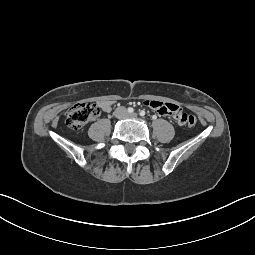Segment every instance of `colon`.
Wrapping results in <instances>:
<instances>
[{
	"label": "colon",
	"mask_w": 255,
	"mask_h": 255,
	"mask_svg": "<svg viewBox=\"0 0 255 255\" xmlns=\"http://www.w3.org/2000/svg\"><path fill=\"white\" fill-rule=\"evenodd\" d=\"M100 115L99 107L90 102L77 103L73 105L66 113L65 123L71 130L81 129L87 123L95 120ZM188 116L187 126H194L197 122L193 115Z\"/></svg>",
	"instance_id": "5ec220e1"
}]
</instances>
